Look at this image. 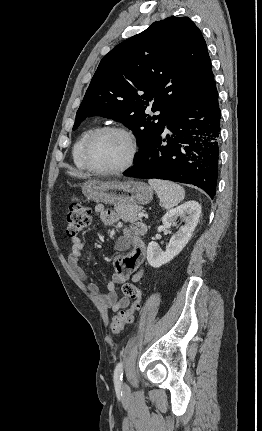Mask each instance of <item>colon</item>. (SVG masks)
Masks as SVG:
<instances>
[{
    "instance_id": "obj_1",
    "label": "colon",
    "mask_w": 262,
    "mask_h": 431,
    "mask_svg": "<svg viewBox=\"0 0 262 431\" xmlns=\"http://www.w3.org/2000/svg\"><path fill=\"white\" fill-rule=\"evenodd\" d=\"M66 221L67 235L75 237L90 224L91 212L89 208L73 200L69 206ZM121 290L123 295L131 300V304L112 318L110 330L115 335L120 334L126 325L133 322L135 313L140 310L143 297L142 290L131 282L123 283Z\"/></svg>"
}]
</instances>
